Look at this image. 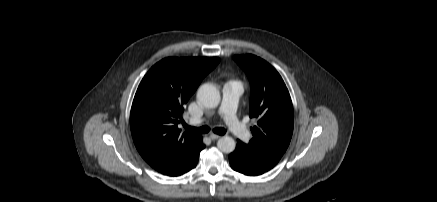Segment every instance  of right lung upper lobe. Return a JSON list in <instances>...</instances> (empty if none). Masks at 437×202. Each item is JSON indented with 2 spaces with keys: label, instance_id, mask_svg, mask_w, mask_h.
I'll list each match as a JSON object with an SVG mask.
<instances>
[{
  "label": "right lung upper lobe",
  "instance_id": "cb5924a9",
  "mask_svg": "<svg viewBox=\"0 0 437 202\" xmlns=\"http://www.w3.org/2000/svg\"><path fill=\"white\" fill-rule=\"evenodd\" d=\"M216 57H169L156 63L136 91L130 126L134 144L155 170L166 173L194 151L201 136L178 128L186 103L202 79L213 70Z\"/></svg>",
  "mask_w": 437,
  "mask_h": 202
}]
</instances>
